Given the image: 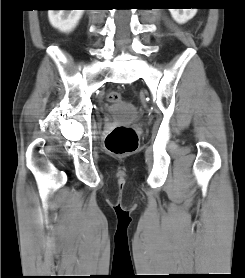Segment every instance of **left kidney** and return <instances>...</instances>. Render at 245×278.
Instances as JSON below:
<instances>
[{
	"label": "left kidney",
	"mask_w": 245,
	"mask_h": 278,
	"mask_svg": "<svg viewBox=\"0 0 245 278\" xmlns=\"http://www.w3.org/2000/svg\"><path fill=\"white\" fill-rule=\"evenodd\" d=\"M173 19L180 23L183 24L187 22L188 20L192 19L196 13H197V8H192V9H169Z\"/></svg>",
	"instance_id": "left-kidney-1"
}]
</instances>
